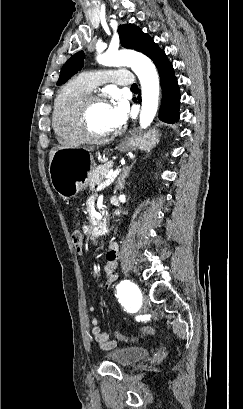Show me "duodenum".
<instances>
[{"label": "duodenum", "instance_id": "duodenum-1", "mask_svg": "<svg viewBox=\"0 0 243 409\" xmlns=\"http://www.w3.org/2000/svg\"><path fill=\"white\" fill-rule=\"evenodd\" d=\"M93 232L96 237H101L107 232V227L104 223L96 221L93 223Z\"/></svg>", "mask_w": 243, "mask_h": 409}]
</instances>
